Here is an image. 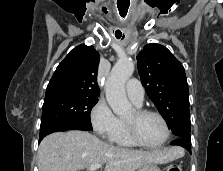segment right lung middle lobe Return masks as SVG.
Returning a JSON list of instances; mask_svg holds the SVG:
<instances>
[{
	"mask_svg": "<svg viewBox=\"0 0 223 171\" xmlns=\"http://www.w3.org/2000/svg\"><path fill=\"white\" fill-rule=\"evenodd\" d=\"M98 96L78 94L58 95L44 100L40 130L64 121H72L92 128L90 112Z\"/></svg>",
	"mask_w": 223,
	"mask_h": 171,
	"instance_id": "obj_1",
	"label": "right lung middle lobe"
}]
</instances>
